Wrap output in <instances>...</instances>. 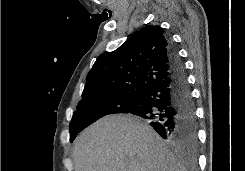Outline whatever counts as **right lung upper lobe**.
<instances>
[{"instance_id": "right-lung-upper-lobe-1", "label": "right lung upper lobe", "mask_w": 245, "mask_h": 171, "mask_svg": "<svg viewBox=\"0 0 245 171\" xmlns=\"http://www.w3.org/2000/svg\"><path fill=\"white\" fill-rule=\"evenodd\" d=\"M169 44L161 27L148 25L115 51L101 54L86 77L82 101L140 96L170 75Z\"/></svg>"}]
</instances>
